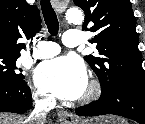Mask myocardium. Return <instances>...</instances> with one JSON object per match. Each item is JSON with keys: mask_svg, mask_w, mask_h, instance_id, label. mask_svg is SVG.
Returning <instances> with one entry per match:
<instances>
[{"mask_svg": "<svg viewBox=\"0 0 145 124\" xmlns=\"http://www.w3.org/2000/svg\"><path fill=\"white\" fill-rule=\"evenodd\" d=\"M101 94V84L98 80L92 79L88 82L85 93L81 98L82 103H88L97 99Z\"/></svg>", "mask_w": 145, "mask_h": 124, "instance_id": "1", "label": "myocardium"}]
</instances>
